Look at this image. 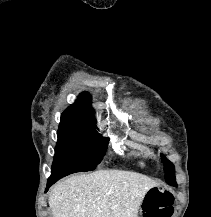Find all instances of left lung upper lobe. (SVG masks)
I'll list each match as a JSON object with an SVG mask.
<instances>
[{
	"instance_id": "1",
	"label": "left lung upper lobe",
	"mask_w": 211,
	"mask_h": 217,
	"mask_svg": "<svg viewBox=\"0 0 211 217\" xmlns=\"http://www.w3.org/2000/svg\"><path fill=\"white\" fill-rule=\"evenodd\" d=\"M162 162L164 163L165 181L171 186H177L174 165L164 157H162Z\"/></svg>"
}]
</instances>
